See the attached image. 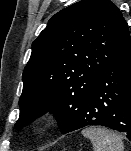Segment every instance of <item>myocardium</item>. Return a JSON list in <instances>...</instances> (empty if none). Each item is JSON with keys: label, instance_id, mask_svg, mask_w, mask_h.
Here are the masks:
<instances>
[{"label": "myocardium", "instance_id": "f54148a6", "mask_svg": "<svg viewBox=\"0 0 131 151\" xmlns=\"http://www.w3.org/2000/svg\"><path fill=\"white\" fill-rule=\"evenodd\" d=\"M45 123V119L44 118H39L34 122V127L36 129H40Z\"/></svg>", "mask_w": 131, "mask_h": 151}]
</instances>
